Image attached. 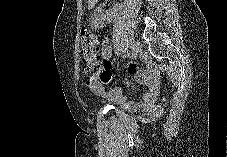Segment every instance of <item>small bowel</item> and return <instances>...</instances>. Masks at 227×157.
Instances as JSON below:
<instances>
[{
    "instance_id": "1",
    "label": "small bowel",
    "mask_w": 227,
    "mask_h": 157,
    "mask_svg": "<svg viewBox=\"0 0 227 157\" xmlns=\"http://www.w3.org/2000/svg\"><path fill=\"white\" fill-rule=\"evenodd\" d=\"M112 48L108 41L103 44L102 57L103 61L99 68L96 70L92 78L88 82L90 91L95 95H101L106 97L110 102L118 104L126 111H136L141 108H148L152 106L157 99L159 84H158V73L155 69L150 72H144L140 70L136 63L130 62L127 65L129 74L135 77V79L148 86V91L145 93L143 98L139 102L128 100L123 94V91L119 87H114L108 92L105 91V85L110 82L111 74V58Z\"/></svg>"
}]
</instances>
